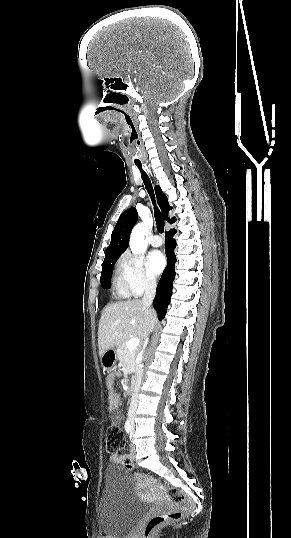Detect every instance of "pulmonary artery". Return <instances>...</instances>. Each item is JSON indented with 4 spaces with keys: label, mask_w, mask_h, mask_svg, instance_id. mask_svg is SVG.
I'll list each match as a JSON object with an SVG mask.
<instances>
[{
    "label": "pulmonary artery",
    "mask_w": 291,
    "mask_h": 538,
    "mask_svg": "<svg viewBox=\"0 0 291 538\" xmlns=\"http://www.w3.org/2000/svg\"><path fill=\"white\" fill-rule=\"evenodd\" d=\"M163 241L161 237L159 236H153L150 240V244L152 247H160L162 245Z\"/></svg>",
    "instance_id": "obj_1"
}]
</instances>
